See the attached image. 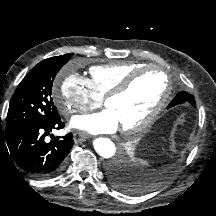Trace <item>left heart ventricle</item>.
<instances>
[{"label":"left heart ventricle","instance_id":"left-heart-ventricle-1","mask_svg":"<svg viewBox=\"0 0 216 216\" xmlns=\"http://www.w3.org/2000/svg\"><path fill=\"white\" fill-rule=\"evenodd\" d=\"M166 89L164 76L157 70L139 76L123 95L108 102L119 126L129 127L142 121L156 106Z\"/></svg>","mask_w":216,"mask_h":216}]
</instances>
